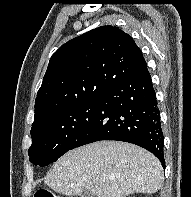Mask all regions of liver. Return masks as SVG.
I'll return each mask as SVG.
<instances>
[{"label":"liver","mask_w":191,"mask_h":197,"mask_svg":"<svg viewBox=\"0 0 191 197\" xmlns=\"http://www.w3.org/2000/svg\"><path fill=\"white\" fill-rule=\"evenodd\" d=\"M160 161L127 142L99 141L68 151L44 182L53 191L73 196L88 190L96 197L156 193L163 182Z\"/></svg>","instance_id":"6515ba94"}]
</instances>
